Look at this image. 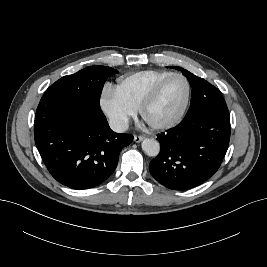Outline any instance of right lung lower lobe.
<instances>
[{"label":"right lung lower lobe","mask_w":267,"mask_h":267,"mask_svg":"<svg viewBox=\"0 0 267 267\" xmlns=\"http://www.w3.org/2000/svg\"><path fill=\"white\" fill-rule=\"evenodd\" d=\"M34 135L50 174L77 190L103 183L115 170L120 151L133 135L113 132L101 109L43 96L38 105Z\"/></svg>","instance_id":"right-lung-lower-lobe-1"}]
</instances>
